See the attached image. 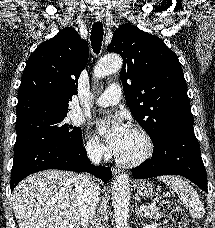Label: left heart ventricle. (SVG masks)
I'll use <instances>...</instances> for the list:
<instances>
[{"label":"left heart ventricle","mask_w":215,"mask_h":228,"mask_svg":"<svg viewBox=\"0 0 215 228\" xmlns=\"http://www.w3.org/2000/svg\"><path fill=\"white\" fill-rule=\"evenodd\" d=\"M142 148H143V142H142L141 137L138 134L132 132L131 139H130V142H129L127 149L119 157L120 158L134 157L135 155H137L142 150Z\"/></svg>","instance_id":"b2bd125f"}]
</instances>
